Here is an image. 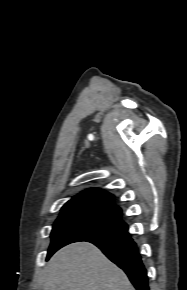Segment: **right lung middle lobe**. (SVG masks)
Masks as SVG:
<instances>
[{
  "mask_svg": "<svg viewBox=\"0 0 187 290\" xmlns=\"http://www.w3.org/2000/svg\"><path fill=\"white\" fill-rule=\"evenodd\" d=\"M127 227L120 216L108 210L80 208L63 211L53 225L47 260L67 244L115 234Z\"/></svg>",
  "mask_w": 187,
  "mask_h": 290,
  "instance_id": "dd1d6c3e",
  "label": "right lung middle lobe"
}]
</instances>
